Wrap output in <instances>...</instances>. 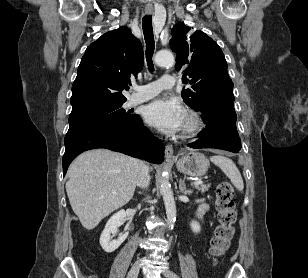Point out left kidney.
Segmentation results:
<instances>
[{"label": "left kidney", "mask_w": 308, "mask_h": 278, "mask_svg": "<svg viewBox=\"0 0 308 278\" xmlns=\"http://www.w3.org/2000/svg\"><path fill=\"white\" fill-rule=\"evenodd\" d=\"M190 226H191V229H192V231H193L194 233H199V232H200V225H199L198 222L192 221V222L190 223Z\"/></svg>", "instance_id": "left-kidney-1"}]
</instances>
